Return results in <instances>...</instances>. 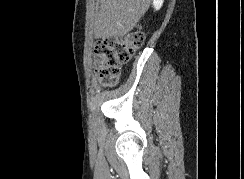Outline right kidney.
Here are the masks:
<instances>
[{"mask_svg":"<svg viewBox=\"0 0 244 179\" xmlns=\"http://www.w3.org/2000/svg\"><path fill=\"white\" fill-rule=\"evenodd\" d=\"M163 2L164 0H153V8H155V10H160Z\"/></svg>","mask_w":244,"mask_h":179,"instance_id":"1","label":"right kidney"}]
</instances>
